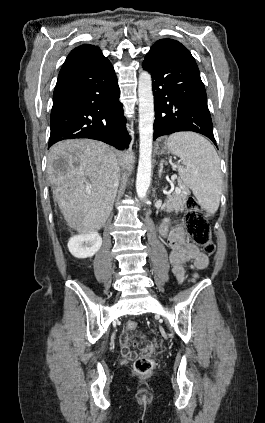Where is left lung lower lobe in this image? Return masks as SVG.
Returning a JSON list of instances; mask_svg holds the SVG:
<instances>
[{
    "label": "left lung lower lobe",
    "instance_id": "1",
    "mask_svg": "<svg viewBox=\"0 0 265 423\" xmlns=\"http://www.w3.org/2000/svg\"><path fill=\"white\" fill-rule=\"evenodd\" d=\"M143 69L151 73L153 80L154 140L193 131L216 145L205 87L189 50L176 40L161 39L147 53Z\"/></svg>",
    "mask_w": 265,
    "mask_h": 423
}]
</instances>
